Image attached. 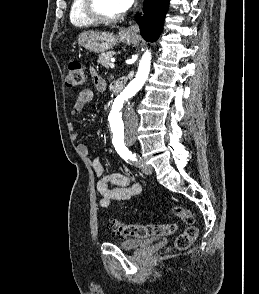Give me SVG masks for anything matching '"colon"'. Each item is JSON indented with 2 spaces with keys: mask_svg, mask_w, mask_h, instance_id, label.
<instances>
[{
  "mask_svg": "<svg viewBox=\"0 0 259 294\" xmlns=\"http://www.w3.org/2000/svg\"><path fill=\"white\" fill-rule=\"evenodd\" d=\"M87 75L81 62L70 61L65 75V85L69 88L81 87L86 83ZM174 216L186 224L185 229L177 236L174 241L173 249L186 250L195 241L198 229L194 225V215L190 209L183 206L173 207ZM112 231L122 237L149 238L154 236L171 235L176 232L178 223L167 224L156 223H131L123 222L119 219H112L110 222Z\"/></svg>",
  "mask_w": 259,
  "mask_h": 294,
  "instance_id": "5ec220e1",
  "label": "colon"
}]
</instances>
